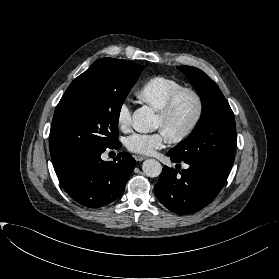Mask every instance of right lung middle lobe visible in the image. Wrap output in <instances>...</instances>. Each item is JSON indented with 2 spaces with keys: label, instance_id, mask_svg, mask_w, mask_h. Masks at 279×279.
Masks as SVG:
<instances>
[{
  "label": "right lung middle lobe",
  "instance_id": "right-lung-middle-lobe-1",
  "mask_svg": "<svg viewBox=\"0 0 279 279\" xmlns=\"http://www.w3.org/2000/svg\"><path fill=\"white\" fill-rule=\"evenodd\" d=\"M142 70L128 60L102 58L73 80L52 120V162L118 142L120 109Z\"/></svg>",
  "mask_w": 279,
  "mask_h": 279
}]
</instances>
